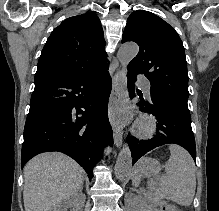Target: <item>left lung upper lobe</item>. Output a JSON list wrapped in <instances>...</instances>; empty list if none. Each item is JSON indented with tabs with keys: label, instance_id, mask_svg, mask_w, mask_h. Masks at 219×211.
Wrapping results in <instances>:
<instances>
[{
	"label": "left lung upper lobe",
	"instance_id": "5c2ea615",
	"mask_svg": "<svg viewBox=\"0 0 219 211\" xmlns=\"http://www.w3.org/2000/svg\"><path fill=\"white\" fill-rule=\"evenodd\" d=\"M139 45L137 56L128 72L144 74L150 81V93L181 104L188 109V71L182 41L174 30L157 15L136 10L131 13L122 43Z\"/></svg>",
	"mask_w": 219,
	"mask_h": 211
}]
</instances>
